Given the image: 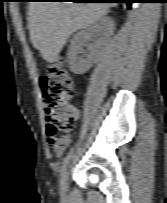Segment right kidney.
<instances>
[{"instance_id":"obj_1","label":"right kidney","mask_w":167,"mask_h":203,"mask_svg":"<svg viewBox=\"0 0 167 203\" xmlns=\"http://www.w3.org/2000/svg\"><path fill=\"white\" fill-rule=\"evenodd\" d=\"M114 28V21L110 17H103L74 35L68 51L69 67L74 74H84L92 67ZM94 35H102L103 39L90 43Z\"/></svg>"}]
</instances>
